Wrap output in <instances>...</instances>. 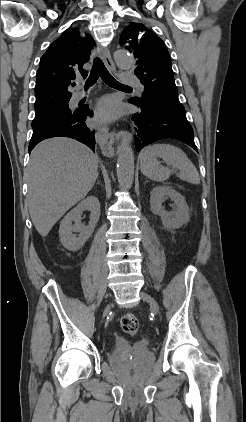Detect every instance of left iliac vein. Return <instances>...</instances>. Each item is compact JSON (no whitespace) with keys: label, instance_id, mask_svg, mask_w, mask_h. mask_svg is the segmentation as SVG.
Segmentation results:
<instances>
[{"label":"left iliac vein","instance_id":"left-iliac-vein-1","mask_svg":"<svg viewBox=\"0 0 246 422\" xmlns=\"http://www.w3.org/2000/svg\"><path fill=\"white\" fill-rule=\"evenodd\" d=\"M140 295H141V298L150 305L151 310L155 314H157L159 312V305L156 302V300L153 297H151L149 294L145 293V292H141Z\"/></svg>","mask_w":246,"mask_h":422}]
</instances>
